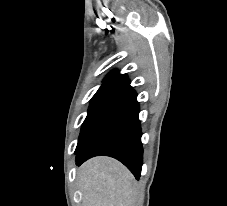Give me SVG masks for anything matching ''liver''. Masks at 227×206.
<instances>
[{
    "mask_svg": "<svg viewBox=\"0 0 227 206\" xmlns=\"http://www.w3.org/2000/svg\"><path fill=\"white\" fill-rule=\"evenodd\" d=\"M83 206H132L135 181L131 172L110 157H95L78 169Z\"/></svg>",
    "mask_w": 227,
    "mask_h": 206,
    "instance_id": "6515ba94",
    "label": "liver"
}]
</instances>
